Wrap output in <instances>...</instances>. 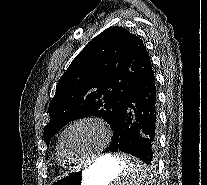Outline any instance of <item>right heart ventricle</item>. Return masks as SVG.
Here are the masks:
<instances>
[{
  "instance_id": "right-heart-ventricle-1",
  "label": "right heart ventricle",
  "mask_w": 207,
  "mask_h": 185,
  "mask_svg": "<svg viewBox=\"0 0 207 185\" xmlns=\"http://www.w3.org/2000/svg\"><path fill=\"white\" fill-rule=\"evenodd\" d=\"M56 155H57V158L59 160V162L61 163H65V161L62 159V157L60 156L59 152H58V149H57V152H56Z\"/></svg>"
}]
</instances>
